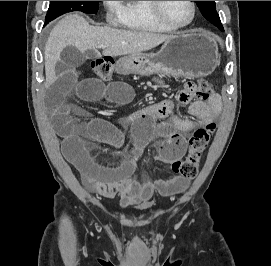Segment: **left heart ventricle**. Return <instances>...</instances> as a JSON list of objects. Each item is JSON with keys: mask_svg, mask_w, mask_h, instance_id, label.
<instances>
[{"mask_svg": "<svg viewBox=\"0 0 271 266\" xmlns=\"http://www.w3.org/2000/svg\"><path fill=\"white\" fill-rule=\"evenodd\" d=\"M162 9L166 17L175 24H186L192 15L189 1H163Z\"/></svg>", "mask_w": 271, "mask_h": 266, "instance_id": "1", "label": "left heart ventricle"}]
</instances>
